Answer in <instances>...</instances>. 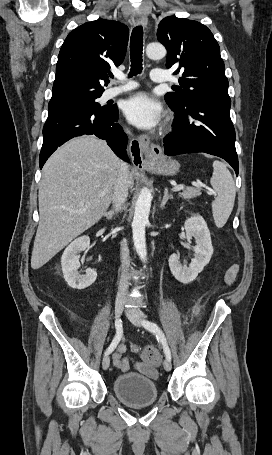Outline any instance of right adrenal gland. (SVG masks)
I'll use <instances>...</instances> for the list:
<instances>
[{
    "label": "right adrenal gland",
    "mask_w": 272,
    "mask_h": 455,
    "mask_svg": "<svg viewBox=\"0 0 272 455\" xmlns=\"http://www.w3.org/2000/svg\"><path fill=\"white\" fill-rule=\"evenodd\" d=\"M114 214H115V210H110V211H108V212H105L104 216H105L108 220H112Z\"/></svg>",
    "instance_id": "2a0ac1e0"
}]
</instances>
